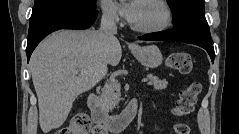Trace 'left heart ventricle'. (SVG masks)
<instances>
[{"label":"left heart ventricle","instance_id":"b2bd125f","mask_svg":"<svg viewBox=\"0 0 239 134\" xmlns=\"http://www.w3.org/2000/svg\"><path fill=\"white\" fill-rule=\"evenodd\" d=\"M163 20L162 10L155 4L143 0L137 2V11L131 23L139 27H153Z\"/></svg>","mask_w":239,"mask_h":134}]
</instances>
